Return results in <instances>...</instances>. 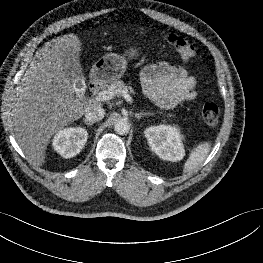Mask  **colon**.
I'll use <instances>...</instances> for the list:
<instances>
[{"label": "colon", "instance_id": "obj_1", "mask_svg": "<svg viewBox=\"0 0 263 263\" xmlns=\"http://www.w3.org/2000/svg\"><path fill=\"white\" fill-rule=\"evenodd\" d=\"M167 39L183 60L187 61L195 56V48L187 39L176 34H169ZM219 115L220 110L215 103L208 102L201 109V117L209 126H214L218 123Z\"/></svg>", "mask_w": 263, "mask_h": 263}]
</instances>
